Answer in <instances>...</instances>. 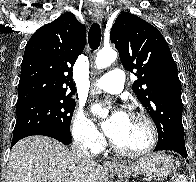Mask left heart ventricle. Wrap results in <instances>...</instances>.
I'll return each instance as SVG.
<instances>
[{"label":"left heart ventricle","instance_id":"obj_1","mask_svg":"<svg viewBox=\"0 0 196 182\" xmlns=\"http://www.w3.org/2000/svg\"><path fill=\"white\" fill-rule=\"evenodd\" d=\"M114 141L125 149L140 150L149 142V131L142 120L127 116L126 125Z\"/></svg>","mask_w":196,"mask_h":182}]
</instances>
